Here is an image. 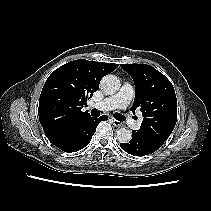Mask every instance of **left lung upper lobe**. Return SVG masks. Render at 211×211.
<instances>
[{"instance_id":"left-lung-upper-lobe-1","label":"left lung upper lobe","mask_w":211,"mask_h":211,"mask_svg":"<svg viewBox=\"0 0 211 211\" xmlns=\"http://www.w3.org/2000/svg\"><path fill=\"white\" fill-rule=\"evenodd\" d=\"M135 84L133 113L140 109L144 119L139 133L163 144L177 121V99L171 82L147 64H121Z\"/></svg>"}]
</instances>
